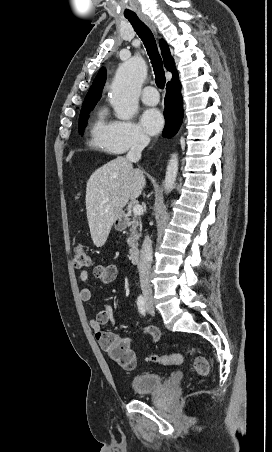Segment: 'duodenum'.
Returning a JSON list of instances; mask_svg holds the SVG:
<instances>
[{
    "mask_svg": "<svg viewBox=\"0 0 272 452\" xmlns=\"http://www.w3.org/2000/svg\"><path fill=\"white\" fill-rule=\"evenodd\" d=\"M123 227V226H122ZM140 250L138 247H132L129 250V259L132 263H135L138 260Z\"/></svg>",
    "mask_w": 272,
    "mask_h": 452,
    "instance_id": "1",
    "label": "duodenum"
}]
</instances>
